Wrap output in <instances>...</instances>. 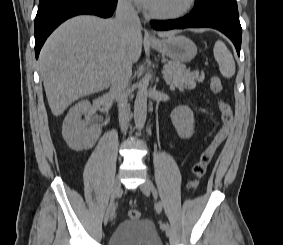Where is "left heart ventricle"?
I'll use <instances>...</instances> for the list:
<instances>
[{"mask_svg": "<svg viewBox=\"0 0 283 245\" xmlns=\"http://www.w3.org/2000/svg\"><path fill=\"white\" fill-rule=\"evenodd\" d=\"M187 0H152L148 9L159 13H171L182 8Z\"/></svg>", "mask_w": 283, "mask_h": 245, "instance_id": "1", "label": "left heart ventricle"}]
</instances>
